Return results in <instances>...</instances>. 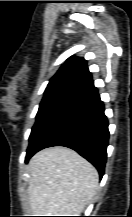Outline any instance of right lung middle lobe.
Here are the masks:
<instances>
[{
  "mask_svg": "<svg viewBox=\"0 0 132 217\" xmlns=\"http://www.w3.org/2000/svg\"><path fill=\"white\" fill-rule=\"evenodd\" d=\"M76 98L77 97L73 94L63 92L44 94L36 116L35 125L29 137V147L33 145L54 117Z\"/></svg>",
  "mask_w": 132,
  "mask_h": 217,
  "instance_id": "right-lung-middle-lobe-1",
  "label": "right lung middle lobe"
}]
</instances>
